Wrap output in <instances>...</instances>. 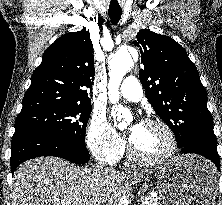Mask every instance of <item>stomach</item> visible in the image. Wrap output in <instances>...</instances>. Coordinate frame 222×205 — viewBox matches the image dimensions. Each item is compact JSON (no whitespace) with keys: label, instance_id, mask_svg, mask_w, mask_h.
Returning a JSON list of instances; mask_svg holds the SVG:
<instances>
[{"label":"stomach","instance_id":"stomach-1","mask_svg":"<svg viewBox=\"0 0 222 205\" xmlns=\"http://www.w3.org/2000/svg\"><path fill=\"white\" fill-rule=\"evenodd\" d=\"M157 190L165 205H210L216 195L217 178L214 166L194 155L171 159L154 172ZM142 175L132 174L137 182Z\"/></svg>","mask_w":222,"mask_h":205}]
</instances>
